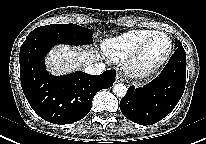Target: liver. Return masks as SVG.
<instances>
[{"label":"liver","mask_w":206,"mask_h":144,"mask_svg":"<svg viewBox=\"0 0 206 144\" xmlns=\"http://www.w3.org/2000/svg\"><path fill=\"white\" fill-rule=\"evenodd\" d=\"M98 53L93 52V48L86 50H76L70 46H58L53 49L47 57V68L52 74L62 75L71 70L85 67L96 62Z\"/></svg>","instance_id":"1"}]
</instances>
